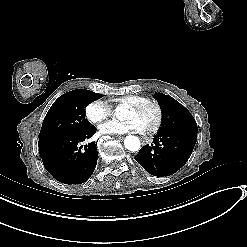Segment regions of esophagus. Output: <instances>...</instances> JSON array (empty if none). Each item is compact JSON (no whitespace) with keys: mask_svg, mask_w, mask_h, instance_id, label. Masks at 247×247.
<instances>
[{"mask_svg":"<svg viewBox=\"0 0 247 247\" xmlns=\"http://www.w3.org/2000/svg\"><path fill=\"white\" fill-rule=\"evenodd\" d=\"M139 142H142V145H146V142L143 140V138H140Z\"/></svg>","mask_w":247,"mask_h":247,"instance_id":"esophagus-1","label":"esophagus"}]
</instances>
